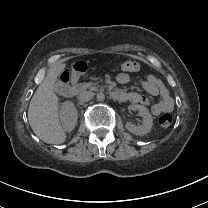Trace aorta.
<instances>
[{
  "label": "aorta",
  "instance_id": "aorta-1",
  "mask_svg": "<svg viewBox=\"0 0 208 208\" xmlns=\"http://www.w3.org/2000/svg\"><path fill=\"white\" fill-rule=\"evenodd\" d=\"M96 99H97L98 102L103 103V102L106 101L107 96H106L105 93L100 92V93L97 94Z\"/></svg>",
  "mask_w": 208,
  "mask_h": 208
}]
</instances>
